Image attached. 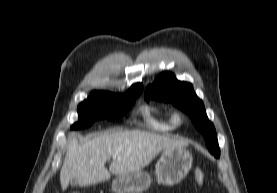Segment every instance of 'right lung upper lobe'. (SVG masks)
<instances>
[{
	"mask_svg": "<svg viewBox=\"0 0 277 193\" xmlns=\"http://www.w3.org/2000/svg\"><path fill=\"white\" fill-rule=\"evenodd\" d=\"M142 90H143L142 84L138 83V84H134L126 94H132V93L140 94L142 92ZM93 92H96V91H93ZM97 93L113 94V93L104 92V91H98Z\"/></svg>",
	"mask_w": 277,
	"mask_h": 193,
	"instance_id": "cb5924a9",
	"label": "right lung upper lobe"
}]
</instances>
